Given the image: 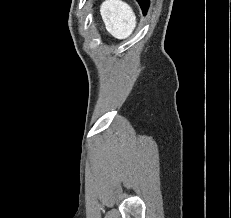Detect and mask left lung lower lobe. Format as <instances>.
I'll use <instances>...</instances> for the list:
<instances>
[{
  "mask_svg": "<svg viewBox=\"0 0 231 218\" xmlns=\"http://www.w3.org/2000/svg\"><path fill=\"white\" fill-rule=\"evenodd\" d=\"M137 2L140 4L143 13L146 14L149 7V0H137Z\"/></svg>",
  "mask_w": 231,
  "mask_h": 218,
  "instance_id": "1",
  "label": "left lung lower lobe"
}]
</instances>
